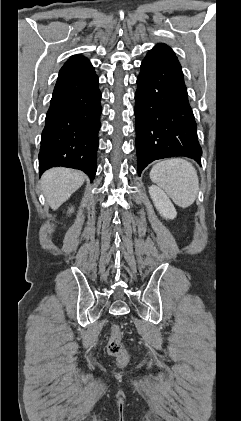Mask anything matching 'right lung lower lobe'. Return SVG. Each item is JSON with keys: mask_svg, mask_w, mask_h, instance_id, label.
Segmentation results:
<instances>
[{"mask_svg": "<svg viewBox=\"0 0 241 421\" xmlns=\"http://www.w3.org/2000/svg\"><path fill=\"white\" fill-rule=\"evenodd\" d=\"M101 92L85 57L67 61L59 72L45 119L39 152L40 174L55 166L97 171Z\"/></svg>", "mask_w": 241, "mask_h": 421, "instance_id": "obj_1", "label": "right lung lower lobe"}]
</instances>
